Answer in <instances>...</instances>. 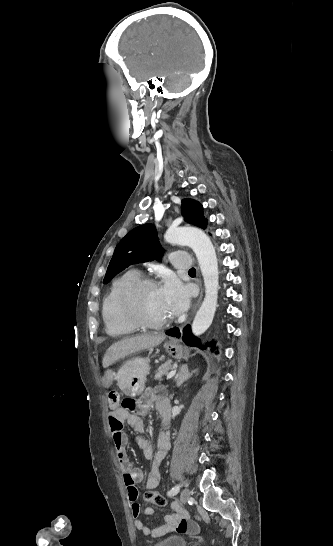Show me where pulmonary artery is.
I'll return each instance as SVG.
<instances>
[{"label": "pulmonary artery", "instance_id": "pulmonary-artery-1", "mask_svg": "<svg viewBox=\"0 0 333 546\" xmlns=\"http://www.w3.org/2000/svg\"><path fill=\"white\" fill-rule=\"evenodd\" d=\"M170 261L175 268L189 269L190 260L187 254L181 251H175L170 254Z\"/></svg>", "mask_w": 333, "mask_h": 546}]
</instances>
